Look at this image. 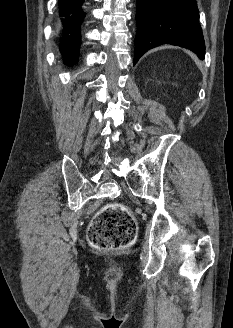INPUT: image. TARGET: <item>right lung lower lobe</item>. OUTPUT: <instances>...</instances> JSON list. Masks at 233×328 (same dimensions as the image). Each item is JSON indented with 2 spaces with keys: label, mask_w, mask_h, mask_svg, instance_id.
<instances>
[{
  "label": "right lung lower lobe",
  "mask_w": 233,
  "mask_h": 328,
  "mask_svg": "<svg viewBox=\"0 0 233 328\" xmlns=\"http://www.w3.org/2000/svg\"><path fill=\"white\" fill-rule=\"evenodd\" d=\"M83 0H60V16L63 37L60 44V52L67 64H73L77 61L80 25L85 17V13L81 9Z\"/></svg>",
  "instance_id": "1"
}]
</instances>
